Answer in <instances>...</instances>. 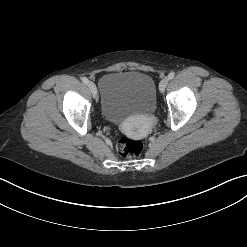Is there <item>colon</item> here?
Instances as JSON below:
<instances>
[{
  "mask_svg": "<svg viewBox=\"0 0 247 247\" xmlns=\"http://www.w3.org/2000/svg\"><path fill=\"white\" fill-rule=\"evenodd\" d=\"M142 150L143 143L140 140L121 138L117 143V151L123 157H136Z\"/></svg>",
  "mask_w": 247,
  "mask_h": 247,
  "instance_id": "1",
  "label": "colon"
}]
</instances>
